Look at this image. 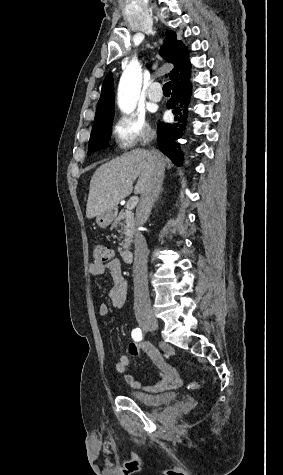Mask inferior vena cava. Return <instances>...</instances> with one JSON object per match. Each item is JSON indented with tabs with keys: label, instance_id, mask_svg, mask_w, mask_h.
Instances as JSON below:
<instances>
[{
	"label": "inferior vena cava",
	"instance_id": "602c4592",
	"mask_svg": "<svg viewBox=\"0 0 283 475\" xmlns=\"http://www.w3.org/2000/svg\"><path fill=\"white\" fill-rule=\"evenodd\" d=\"M152 154L154 156L152 170L136 210L137 230L135 234V257L133 263L135 313L151 311L147 273L148 247L146 239L142 236L139 228L144 226L152 210L154 200L158 198V194H160L162 190L164 162L159 158L157 152H152Z\"/></svg>",
	"mask_w": 283,
	"mask_h": 475
}]
</instances>
